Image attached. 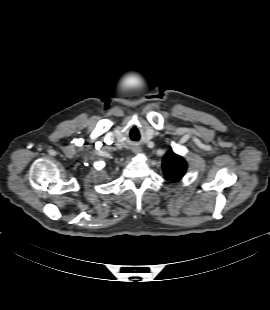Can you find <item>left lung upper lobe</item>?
Wrapping results in <instances>:
<instances>
[{
  "label": "left lung upper lobe",
  "mask_w": 270,
  "mask_h": 310,
  "mask_svg": "<svg viewBox=\"0 0 270 310\" xmlns=\"http://www.w3.org/2000/svg\"><path fill=\"white\" fill-rule=\"evenodd\" d=\"M186 169L185 160L172 151H169L163 158V172L169 181L180 180L184 176Z\"/></svg>",
  "instance_id": "obj_1"
}]
</instances>
